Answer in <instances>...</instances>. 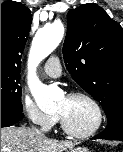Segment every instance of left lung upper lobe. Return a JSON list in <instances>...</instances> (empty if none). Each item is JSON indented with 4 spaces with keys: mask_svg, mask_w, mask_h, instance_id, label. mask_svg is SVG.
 <instances>
[{
    "mask_svg": "<svg viewBox=\"0 0 123 152\" xmlns=\"http://www.w3.org/2000/svg\"><path fill=\"white\" fill-rule=\"evenodd\" d=\"M63 56L72 78L103 107L110 122L123 112V34L97 4L67 14Z\"/></svg>",
    "mask_w": 123,
    "mask_h": 152,
    "instance_id": "1",
    "label": "left lung upper lobe"
}]
</instances>
